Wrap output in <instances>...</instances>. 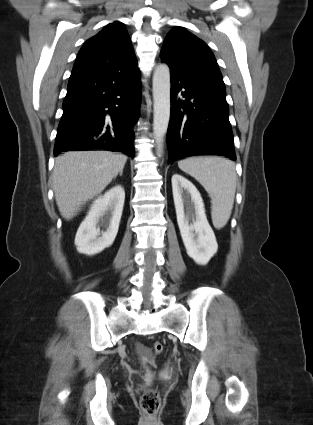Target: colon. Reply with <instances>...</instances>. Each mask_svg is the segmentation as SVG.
Returning <instances> with one entry per match:
<instances>
[{
  "label": "colon",
  "mask_w": 313,
  "mask_h": 425,
  "mask_svg": "<svg viewBox=\"0 0 313 425\" xmlns=\"http://www.w3.org/2000/svg\"><path fill=\"white\" fill-rule=\"evenodd\" d=\"M153 351L155 354H160L163 351V344L159 341L155 342L153 344ZM160 404V396L154 389L146 390L141 396L140 407L143 413L149 418H153L157 415Z\"/></svg>",
  "instance_id": "colon-1"
}]
</instances>
